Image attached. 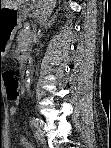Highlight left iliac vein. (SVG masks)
I'll return each mask as SVG.
<instances>
[{
	"label": "left iliac vein",
	"mask_w": 111,
	"mask_h": 148,
	"mask_svg": "<svg viewBox=\"0 0 111 148\" xmlns=\"http://www.w3.org/2000/svg\"><path fill=\"white\" fill-rule=\"evenodd\" d=\"M36 136H37L38 140H40L41 142L44 141L43 132L39 126L37 127V130H36Z\"/></svg>",
	"instance_id": "obj_1"
}]
</instances>
